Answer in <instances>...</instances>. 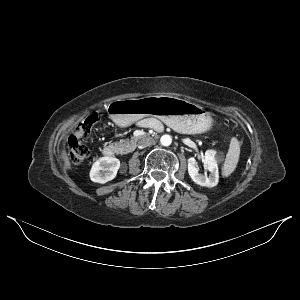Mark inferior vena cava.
Returning a JSON list of instances; mask_svg holds the SVG:
<instances>
[{
	"instance_id": "inferior-vena-cava-1",
	"label": "inferior vena cava",
	"mask_w": 300,
	"mask_h": 300,
	"mask_svg": "<svg viewBox=\"0 0 300 300\" xmlns=\"http://www.w3.org/2000/svg\"><path fill=\"white\" fill-rule=\"evenodd\" d=\"M154 143V139L147 137V138H142L141 140L138 141V147L139 148H145L147 146H150Z\"/></svg>"
}]
</instances>
